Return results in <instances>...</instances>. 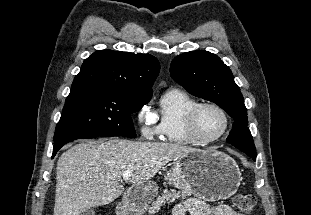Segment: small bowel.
Listing matches in <instances>:
<instances>
[{
    "mask_svg": "<svg viewBox=\"0 0 311 215\" xmlns=\"http://www.w3.org/2000/svg\"><path fill=\"white\" fill-rule=\"evenodd\" d=\"M241 215V213L236 212L230 206L220 204L216 206H211L206 202L191 198L182 203L177 204L173 208L172 215Z\"/></svg>",
    "mask_w": 311,
    "mask_h": 215,
    "instance_id": "small-bowel-1",
    "label": "small bowel"
}]
</instances>
